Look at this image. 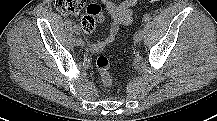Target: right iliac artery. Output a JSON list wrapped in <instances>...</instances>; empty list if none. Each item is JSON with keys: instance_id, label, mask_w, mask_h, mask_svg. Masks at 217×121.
Here are the masks:
<instances>
[{"instance_id": "82829eb1", "label": "right iliac artery", "mask_w": 217, "mask_h": 121, "mask_svg": "<svg viewBox=\"0 0 217 121\" xmlns=\"http://www.w3.org/2000/svg\"><path fill=\"white\" fill-rule=\"evenodd\" d=\"M74 32H75L76 34L80 35L81 29H80V27H79L78 25H75V26H74Z\"/></svg>"}]
</instances>
